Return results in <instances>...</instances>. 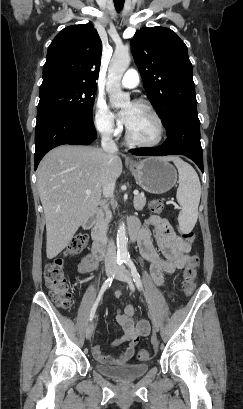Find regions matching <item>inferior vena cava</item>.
<instances>
[{"mask_svg":"<svg viewBox=\"0 0 243 409\" xmlns=\"http://www.w3.org/2000/svg\"><path fill=\"white\" fill-rule=\"evenodd\" d=\"M101 147L103 151L107 154H115L118 151L116 143L112 140L110 131H105L102 134L101 139ZM115 188V181H109L103 189V195L108 198L112 197ZM117 257H116V247L114 241L111 239L108 244L106 256H105V264H116Z\"/></svg>","mask_w":243,"mask_h":409,"instance_id":"inferior-vena-cava-1","label":"inferior vena cava"}]
</instances>
